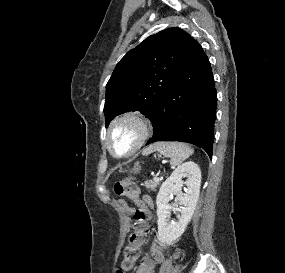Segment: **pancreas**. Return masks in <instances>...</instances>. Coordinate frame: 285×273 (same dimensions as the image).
Segmentation results:
<instances>
[{"label": "pancreas", "mask_w": 285, "mask_h": 273, "mask_svg": "<svg viewBox=\"0 0 285 273\" xmlns=\"http://www.w3.org/2000/svg\"><path fill=\"white\" fill-rule=\"evenodd\" d=\"M159 184H160V181L159 180H155V179L149 180V181L145 182L146 188L150 189L152 191H155L156 188L159 186Z\"/></svg>", "instance_id": "1"}]
</instances>
